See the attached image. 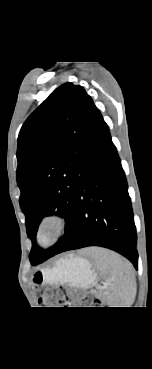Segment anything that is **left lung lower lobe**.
<instances>
[{"label":"left lung lower lobe","mask_w":152,"mask_h":369,"mask_svg":"<svg viewBox=\"0 0 152 369\" xmlns=\"http://www.w3.org/2000/svg\"><path fill=\"white\" fill-rule=\"evenodd\" d=\"M83 166L75 195L76 216L56 254L101 246L122 254L137 269V236L127 180L101 114L84 153Z\"/></svg>","instance_id":"obj_1"}]
</instances>
